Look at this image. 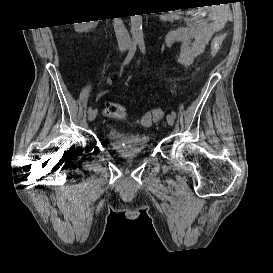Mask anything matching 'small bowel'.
Instances as JSON below:
<instances>
[{
  "mask_svg": "<svg viewBox=\"0 0 273 273\" xmlns=\"http://www.w3.org/2000/svg\"><path fill=\"white\" fill-rule=\"evenodd\" d=\"M210 10L209 8L197 10L185 15L167 14L170 19H183L185 22L184 26L171 30L164 36L166 45L178 44L180 47L176 61L178 67L190 66L204 52L206 45L213 37L217 36L219 40L224 39L225 34L221 30L228 20V15L222 10L215 13Z\"/></svg>",
  "mask_w": 273,
  "mask_h": 273,
  "instance_id": "obj_1",
  "label": "small bowel"
}]
</instances>
